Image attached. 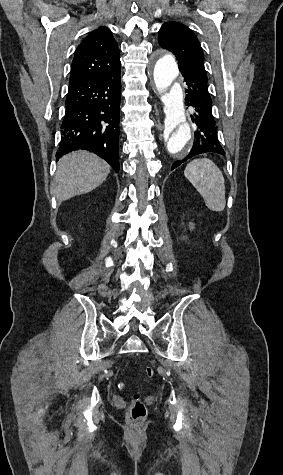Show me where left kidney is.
Returning <instances> with one entry per match:
<instances>
[{
  "label": "left kidney",
  "instance_id": "1",
  "mask_svg": "<svg viewBox=\"0 0 283 475\" xmlns=\"http://www.w3.org/2000/svg\"><path fill=\"white\" fill-rule=\"evenodd\" d=\"M189 228H190V230H194V224H192V222H190V224H189ZM183 239H187V238H185V236H184V238H183Z\"/></svg>",
  "mask_w": 283,
  "mask_h": 475
}]
</instances>
